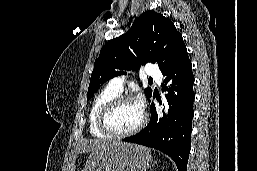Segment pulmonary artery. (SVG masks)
Wrapping results in <instances>:
<instances>
[{
  "label": "pulmonary artery",
  "mask_w": 257,
  "mask_h": 171,
  "mask_svg": "<svg viewBox=\"0 0 257 171\" xmlns=\"http://www.w3.org/2000/svg\"><path fill=\"white\" fill-rule=\"evenodd\" d=\"M145 72L148 76L156 79L157 81H160L162 78L159 69L153 64H147ZM125 80V76H116L109 81L108 87L118 93H121L124 87Z\"/></svg>",
  "instance_id": "e3ab8cb5"
}]
</instances>
